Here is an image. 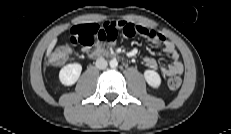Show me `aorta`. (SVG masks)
<instances>
[{
	"mask_svg": "<svg viewBox=\"0 0 231 134\" xmlns=\"http://www.w3.org/2000/svg\"><path fill=\"white\" fill-rule=\"evenodd\" d=\"M109 64L111 68H116L118 66V61L114 58L110 60Z\"/></svg>",
	"mask_w": 231,
	"mask_h": 134,
	"instance_id": "1",
	"label": "aorta"
}]
</instances>
